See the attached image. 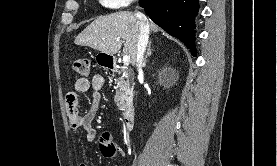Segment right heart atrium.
Instances as JSON below:
<instances>
[{
  "label": "right heart atrium",
  "mask_w": 277,
  "mask_h": 166,
  "mask_svg": "<svg viewBox=\"0 0 277 166\" xmlns=\"http://www.w3.org/2000/svg\"><path fill=\"white\" fill-rule=\"evenodd\" d=\"M135 0H99L100 5L108 9H120L132 4Z\"/></svg>",
  "instance_id": "right-heart-atrium-1"
}]
</instances>
